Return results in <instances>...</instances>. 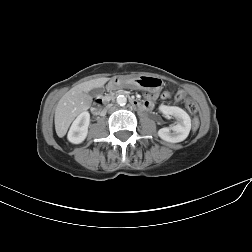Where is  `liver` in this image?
Returning a JSON list of instances; mask_svg holds the SVG:
<instances>
[{
    "mask_svg": "<svg viewBox=\"0 0 252 252\" xmlns=\"http://www.w3.org/2000/svg\"><path fill=\"white\" fill-rule=\"evenodd\" d=\"M109 78H98L83 82L70 89L58 102L55 112V129L59 137H63L72 121L81 112L87 110L92 102L88 94L94 88L103 87Z\"/></svg>",
    "mask_w": 252,
    "mask_h": 252,
    "instance_id": "obj_1",
    "label": "liver"
}]
</instances>
